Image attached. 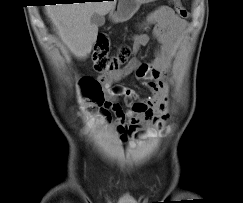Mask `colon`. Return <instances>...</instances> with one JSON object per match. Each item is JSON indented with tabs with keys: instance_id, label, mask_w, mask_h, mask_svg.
Returning <instances> with one entry per match:
<instances>
[{
	"instance_id": "1",
	"label": "colon",
	"mask_w": 243,
	"mask_h": 203,
	"mask_svg": "<svg viewBox=\"0 0 243 203\" xmlns=\"http://www.w3.org/2000/svg\"><path fill=\"white\" fill-rule=\"evenodd\" d=\"M178 16L182 19L188 17V11L179 0H170ZM131 49L128 45H122L114 54H110V41L100 35L93 49V67L95 71L102 73H115L122 70L128 63ZM80 85L94 105H100L104 101V87L102 83L91 76L81 78Z\"/></svg>"
}]
</instances>
